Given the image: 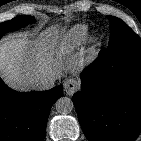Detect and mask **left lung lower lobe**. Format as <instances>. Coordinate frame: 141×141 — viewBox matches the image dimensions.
<instances>
[{"label": "left lung lower lobe", "mask_w": 141, "mask_h": 141, "mask_svg": "<svg viewBox=\"0 0 141 141\" xmlns=\"http://www.w3.org/2000/svg\"><path fill=\"white\" fill-rule=\"evenodd\" d=\"M72 97L89 141H133L141 131V47L102 49Z\"/></svg>", "instance_id": "left-lung-lower-lobe-1"}]
</instances>
